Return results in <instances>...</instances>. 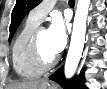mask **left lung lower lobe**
I'll list each match as a JSON object with an SVG mask.
<instances>
[{
  "mask_svg": "<svg viewBox=\"0 0 107 89\" xmlns=\"http://www.w3.org/2000/svg\"><path fill=\"white\" fill-rule=\"evenodd\" d=\"M49 79L58 82L60 86L66 89H85V86L83 85V72L79 76H75L72 79L66 81L64 77V69L61 67L51 76H49Z\"/></svg>",
  "mask_w": 107,
  "mask_h": 89,
  "instance_id": "obj_1",
  "label": "left lung lower lobe"
}]
</instances>
